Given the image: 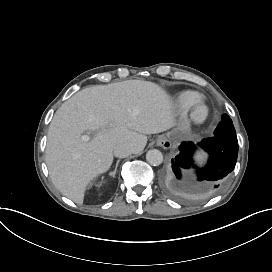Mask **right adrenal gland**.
<instances>
[{
    "label": "right adrenal gland",
    "instance_id": "1",
    "mask_svg": "<svg viewBox=\"0 0 272 272\" xmlns=\"http://www.w3.org/2000/svg\"><path fill=\"white\" fill-rule=\"evenodd\" d=\"M118 163H119V161H117V165H118ZM117 165H116L115 170H114L113 172H110V173H109L110 176L115 177V174H116V171H117Z\"/></svg>",
    "mask_w": 272,
    "mask_h": 272
}]
</instances>
